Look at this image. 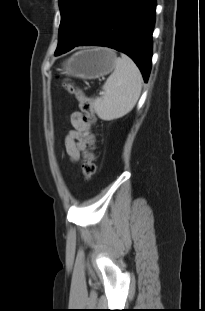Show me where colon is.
I'll return each instance as SVG.
<instances>
[{"label":"colon","mask_w":205,"mask_h":311,"mask_svg":"<svg viewBox=\"0 0 205 311\" xmlns=\"http://www.w3.org/2000/svg\"><path fill=\"white\" fill-rule=\"evenodd\" d=\"M58 86L68 93L75 96L79 103V108L82 112L83 122L92 128L96 124V115L93 107V102L83 90L73 83L60 81ZM89 134L92 135L91 131ZM86 151L84 152V159L82 165L83 176L86 180H90L96 172V142L92 139L86 143Z\"/></svg>","instance_id":"1"}]
</instances>
